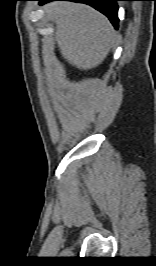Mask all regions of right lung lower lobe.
Instances as JSON below:
<instances>
[{"label":"right lung lower lobe","instance_id":"right-lung-lower-lobe-1","mask_svg":"<svg viewBox=\"0 0 156 266\" xmlns=\"http://www.w3.org/2000/svg\"><path fill=\"white\" fill-rule=\"evenodd\" d=\"M39 1L40 4H44L51 1H72V2H80L88 4L104 15H106L115 28H118V6L117 1L118 0H36Z\"/></svg>","mask_w":156,"mask_h":266}]
</instances>
